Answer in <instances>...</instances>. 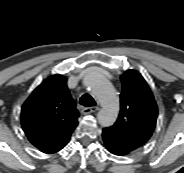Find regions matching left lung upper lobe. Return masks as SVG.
Instances as JSON below:
<instances>
[{"label":"left lung upper lobe","instance_id":"5c2ea615","mask_svg":"<svg viewBox=\"0 0 184 173\" xmlns=\"http://www.w3.org/2000/svg\"><path fill=\"white\" fill-rule=\"evenodd\" d=\"M120 113L114 125L105 128L132 151L151 137L157 120V104L146 81L135 70L121 76Z\"/></svg>","mask_w":184,"mask_h":173}]
</instances>
